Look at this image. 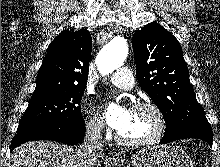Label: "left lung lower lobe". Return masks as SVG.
<instances>
[{"instance_id":"1","label":"left lung lower lobe","mask_w":220,"mask_h":167,"mask_svg":"<svg viewBox=\"0 0 220 167\" xmlns=\"http://www.w3.org/2000/svg\"><path fill=\"white\" fill-rule=\"evenodd\" d=\"M187 138H198L204 140L210 146H212L213 135L210 124L195 125L184 130L179 135L164 136L160 144H166L178 139H187Z\"/></svg>"}]
</instances>
